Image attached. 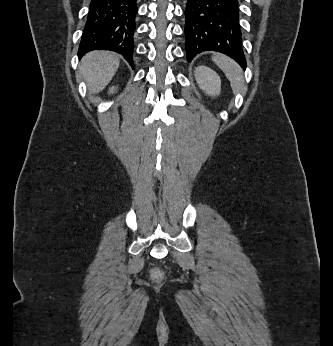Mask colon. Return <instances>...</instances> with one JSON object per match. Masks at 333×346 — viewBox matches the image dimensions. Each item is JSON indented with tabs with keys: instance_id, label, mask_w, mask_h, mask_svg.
<instances>
[{
	"instance_id": "colon-1",
	"label": "colon",
	"mask_w": 333,
	"mask_h": 346,
	"mask_svg": "<svg viewBox=\"0 0 333 346\" xmlns=\"http://www.w3.org/2000/svg\"><path fill=\"white\" fill-rule=\"evenodd\" d=\"M152 276H155L156 280H165L166 275L163 273L162 269H152Z\"/></svg>"
}]
</instances>
